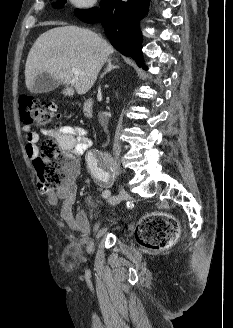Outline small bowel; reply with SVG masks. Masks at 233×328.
I'll use <instances>...</instances> for the list:
<instances>
[{
	"label": "small bowel",
	"mask_w": 233,
	"mask_h": 328,
	"mask_svg": "<svg viewBox=\"0 0 233 328\" xmlns=\"http://www.w3.org/2000/svg\"><path fill=\"white\" fill-rule=\"evenodd\" d=\"M23 131L26 133V153L29 157H34L37 152V143L40 134L31 130L30 125H24ZM41 134L54 139L59 148L65 152H73L82 155L92 146V140L86 129L80 126L63 125L54 129H42ZM40 194L53 206H60L62 217L71 221L73 219L72 207L76 200L77 186L74 177L57 189L49 190L39 185ZM75 221L79 229L84 230L87 221L82 212H78Z\"/></svg>",
	"instance_id": "1"
}]
</instances>
